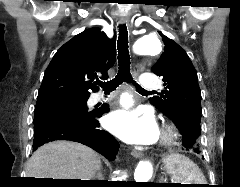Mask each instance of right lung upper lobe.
Returning a JSON list of instances; mask_svg holds the SVG:
<instances>
[{"label":"right lung upper lobe","mask_w":240,"mask_h":187,"mask_svg":"<svg viewBox=\"0 0 240 187\" xmlns=\"http://www.w3.org/2000/svg\"><path fill=\"white\" fill-rule=\"evenodd\" d=\"M115 37L98 28L84 30L66 42L49 63L39 89L36 106L61 99L89 98L99 75L106 79L115 63ZM94 80H96L94 82Z\"/></svg>","instance_id":"obj_1"}]
</instances>
